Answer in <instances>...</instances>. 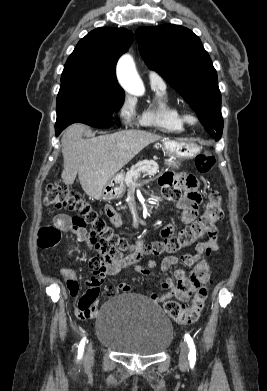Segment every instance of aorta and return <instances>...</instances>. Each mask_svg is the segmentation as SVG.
Here are the masks:
<instances>
[{"instance_id":"1","label":"aorta","mask_w":267,"mask_h":391,"mask_svg":"<svg viewBox=\"0 0 267 391\" xmlns=\"http://www.w3.org/2000/svg\"><path fill=\"white\" fill-rule=\"evenodd\" d=\"M117 77L121 86L131 95L142 96L144 84L139 77L131 55H123L117 64Z\"/></svg>"}]
</instances>
